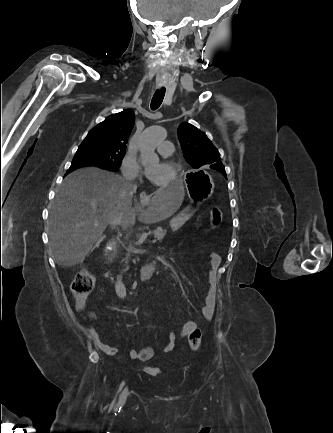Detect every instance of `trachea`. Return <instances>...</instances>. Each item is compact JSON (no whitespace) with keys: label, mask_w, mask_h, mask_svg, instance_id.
Masks as SVG:
<instances>
[{"label":"trachea","mask_w":333,"mask_h":433,"mask_svg":"<svg viewBox=\"0 0 333 433\" xmlns=\"http://www.w3.org/2000/svg\"><path fill=\"white\" fill-rule=\"evenodd\" d=\"M164 96H165V89L164 88H161L160 90H157L155 92V94L151 100V109L152 110H156L160 107V105L162 104V101L164 99Z\"/></svg>","instance_id":"trachea-1"}]
</instances>
